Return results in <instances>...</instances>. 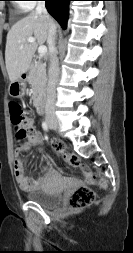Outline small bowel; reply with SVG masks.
Segmentation results:
<instances>
[{"label": "small bowel", "instance_id": "obj_1", "mask_svg": "<svg viewBox=\"0 0 133 253\" xmlns=\"http://www.w3.org/2000/svg\"><path fill=\"white\" fill-rule=\"evenodd\" d=\"M42 141V137L40 133L34 130L33 135L28 138L25 142L19 144L16 148V160L14 163V173L18 186L24 191H31L34 189H38L45 182V178H30L25 174L24 163L23 160L18 156L24 153H27L33 146H40ZM83 176L85 182L88 184L93 183V177L90 171L84 170Z\"/></svg>", "mask_w": 133, "mask_h": 253}]
</instances>
